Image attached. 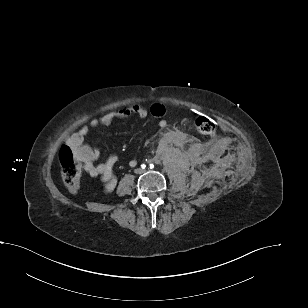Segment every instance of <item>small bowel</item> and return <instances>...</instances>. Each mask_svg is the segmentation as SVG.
Instances as JSON below:
<instances>
[{"label": "small bowel", "mask_w": 308, "mask_h": 308, "mask_svg": "<svg viewBox=\"0 0 308 308\" xmlns=\"http://www.w3.org/2000/svg\"><path fill=\"white\" fill-rule=\"evenodd\" d=\"M151 114L156 118H163L166 115V109L161 104H153L149 109L141 105H132L123 109L108 112L100 117H97L89 123V125L82 126L77 132L71 135L66 144L71 147L75 157L83 165L84 170L92 177H98L104 183L106 190H112L116 183L117 178L115 176V166L118 162V156L111 154L103 163L95 164V160L100 156V152L97 148L88 145L85 142L90 128L97 126H107L117 119L128 118L137 116L139 118H145ZM167 126L165 120L159 122L160 128ZM187 136L185 133L179 130H171L164 132L159 141V146L164 148L168 145L181 146L185 143ZM131 166L136 165V161L130 162Z\"/></svg>", "instance_id": "c3829d8e"}]
</instances>
